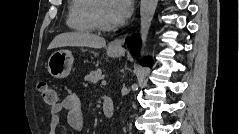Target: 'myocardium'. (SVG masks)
<instances>
[{"label": "myocardium", "instance_id": "myocardium-1", "mask_svg": "<svg viewBox=\"0 0 239 134\" xmlns=\"http://www.w3.org/2000/svg\"><path fill=\"white\" fill-rule=\"evenodd\" d=\"M101 1L102 0H94L92 11H91L92 20L95 25V28H97L98 30L110 31L114 28V25H107L102 20L100 15V10H99Z\"/></svg>", "mask_w": 239, "mask_h": 134}]
</instances>
